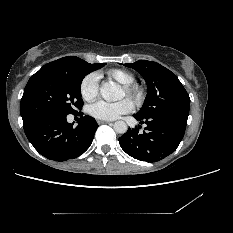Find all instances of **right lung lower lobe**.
<instances>
[{
  "label": "right lung lower lobe",
  "mask_w": 233,
  "mask_h": 233,
  "mask_svg": "<svg viewBox=\"0 0 233 233\" xmlns=\"http://www.w3.org/2000/svg\"><path fill=\"white\" fill-rule=\"evenodd\" d=\"M80 115L77 127L66 120L67 115H48L28 124L24 131L34 148L44 157L66 161L84 153L91 145L98 128L91 116Z\"/></svg>",
  "instance_id": "obj_1"
}]
</instances>
